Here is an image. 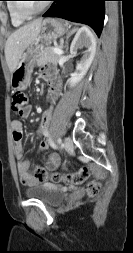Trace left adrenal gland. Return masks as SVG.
Instances as JSON below:
<instances>
[{
    "label": "left adrenal gland",
    "mask_w": 133,
    "mask_h": 253,
    "mask_svg": "<svg viewBox=\"0 0 133 253\" xmlns=\"http://www.w3.org/2000/svg\"><path fill=\"white\" fill-rule=\"evenodd\" d=\"M75 31H77V28H73V29L68 33L67 39H68ZM67 48H68V43L66 42V50H67Z\"/></svg>",
    "instance_id": "left-adrenal-gland-1"
}]
</instances>
